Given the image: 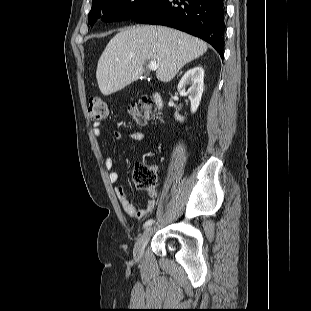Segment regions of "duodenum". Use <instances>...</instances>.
<instances>
[{
    "label": "duodenum",
    "mask_w": 311,
    "mask_h": 311,
    "mask_svg": "<svg viewBox=\"0 0 311 311\" xmlns=\"http://www.w3.org/2000/svg\"><path fill=\"white\" fill-rule=\"evenodd\" d=\"M152 98L155 102V105L158 109L162 108V98L159 92H153Z\"/></svg>",
    "instance_id": "410a0bca"
}]
</instances>
